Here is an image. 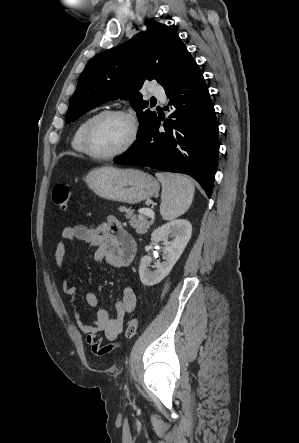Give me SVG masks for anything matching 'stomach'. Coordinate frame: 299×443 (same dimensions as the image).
Wrapping results in <instances>:
<instances>
[{"instance_id":"stomach-1","label":"stomach","mask_w":299,"mask_h":443,"mask_svg":"<svg viewBox=\"0 0 299 443\" xmlns=\"http://www.w3.org/2000/svg\"><path fill=\"white\" fill-rule=\"evenodd\" d=\"M85 181L98 196L129 204L149 199L160 190L155 178L133 168H97L88 173Z\"/></svg>"}]
</instances>
